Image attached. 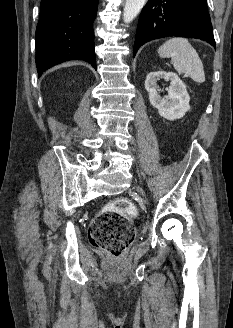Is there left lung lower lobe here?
<instances>
[{"label":"left lung lower lobe","mask_w":233,"mask_h":328,"mask_svg":"<svg viewBox=\"0 0 233 328\" xmlns=\"http://www.w3.org/2000/svg\"><path fill=\"white\" fill-rule=\"evenodd\" d=\"M207 0H149L136 32L133 56L145 42L168 36L199 38L215 47Z\"/></svg>","instance_id":"0a47b994"}]
</instances>
